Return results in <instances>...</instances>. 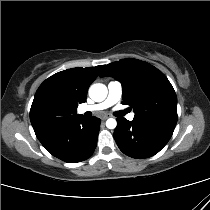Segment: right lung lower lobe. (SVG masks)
<instances>
[{
    "label": "right lung lower lobe",
    "instance_id": "1",
    "mask_svg": "<svg viewBox=\"0 0 210 210\" xmlns=\"http://www.w3.org/2000/svg\"><path fill=\"white\" fill-rule=\"evenodd\" d=\"M100 122L77 115L37 138L53 156L68 163L81 162L96 148Z\"/></svg>",
    "mask_w": 210,
    "mask_h": 210
}]
</instances>
